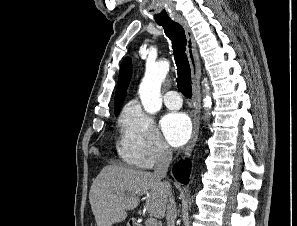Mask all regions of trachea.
<instances>
[{
  "label": "trachea",
  "instance_id": "3493384b",
  "mask_svg": "<svg viewBox=\"0 0 297 226\" xmlns=\"http://www.w3.org/2000/svg\"><path fill=\"white\" fill-rule=\"evenodd\" d=\"M166 36L172 42L173 54L177 66V87L179 91L187 98L191 97V69L185 53L186 36L183 27L174 21L160 22Z\"/></svg>",
  "mask_w": 297,
  "mask_h": 226
}]
</instances>
